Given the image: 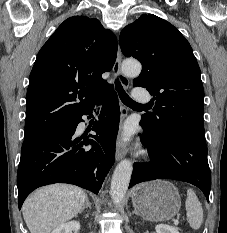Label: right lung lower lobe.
Here are the masks:
<instances>
[{
	"label": "right lung lower lobe",
	"instance_id": "1",
	"mask_svg": "<svg viewBox=\"0 0 227 233\" xmlns=\"http://www.w3.org/2000/svg\"><path fill=\"white\" fill-rule=\"evenodd\" d=\"M102 103L99 120L92 130L97 135L76 133L84 113L35 135L25 137L17 172L18 206L36 188L53 183H69L97 194L114 163L120 109L114 91ZM91 117V115L89 116ZM91 144V148L85 146Z\"/></svg>",
	"mask_w": 227,
	"mask_h": 233
}]
</instances>
